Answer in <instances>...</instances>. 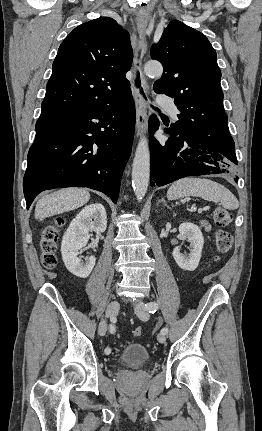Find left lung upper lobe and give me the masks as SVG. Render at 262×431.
Here are the masks:
<instances>
[{
	"label": "left lung upper lobe",
	"instance_id": "5c2ea615",
	"mask_svg": "<svg viewBox=\"0 0 262 431\" xmlns=\"http://www.w3.org/2000/svg\"><path fill=\"white\" fill-rule=\"evenodd\" d=\"M151 57L164 67L154 84L155 92L173 97L181 112L171 125L173 132L207 143H220L230 135L221 71L216 51L205 35L173 20L152 47Z\"/></svg>",
	"mask_w": 262,
	"mask_h": 431
}]
</instances>
